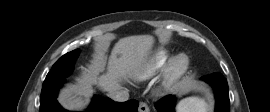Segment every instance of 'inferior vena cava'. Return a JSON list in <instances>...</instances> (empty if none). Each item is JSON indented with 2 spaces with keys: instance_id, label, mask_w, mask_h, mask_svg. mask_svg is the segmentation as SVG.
Wrapping results in <instances>:
<instances>
[{
  "instance_id": "inferior-vena-cava-1",
  "label": "inferior vena cava",
  "mask_w": 270,
  "mask_h": 112,
  "mask_svg": "<svg viewBox=\"0 0 270 112\" xmlns=\"http://www.w3.org/2000/svg\"><path fill=\"white\" fill-rule=\"evenodd\" d=\"M109 97L117 102H124L129 99V93L127 90H116L109 93Z\"/></svg>"
}]
</instances>
